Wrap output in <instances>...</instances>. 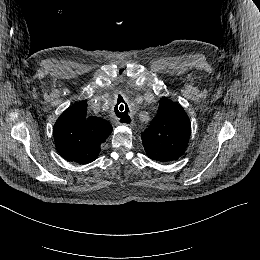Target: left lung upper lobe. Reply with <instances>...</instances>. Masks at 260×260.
<instances>
[{
	"mask_svg": "<svg viewBox=\"0 0 260 260\" xmlns=\"http://www.w3.org/2000/svg\"><path fill=\"white\" fill-rule=\"evenodd\" d=\"M190 132V120L182 106L164 97L160 100L157 115L141 138L149 158L172 162L183 156Z\"/></svg>",
	"mask_w": 260,
	"mask_h": 260,
	"instance_id": "5c2ea615",
	"label": "left lung upper lobe"
}]
</instances>
